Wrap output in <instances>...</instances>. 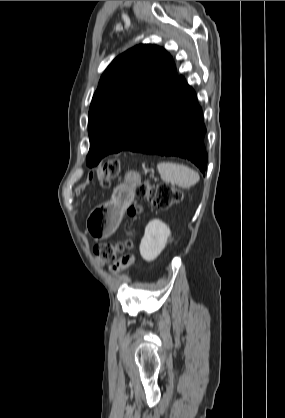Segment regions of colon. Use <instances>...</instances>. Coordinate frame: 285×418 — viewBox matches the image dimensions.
I'll return each mask as SVG.
<instances>
[{
    "instance_id": "colon-1",
    "label": "colon",
    "mask_w": 285,
    "mask_h": 418,
    "mask_svg": "<svg viewBox=\"0 0 285 418\" xmlns=\"http://www.w3.org/2000/svg\"><path fill=\"white\" fill-rule=\"evenodd\" d=\"M90 178H98L103 186H108L111 179L119 178V162L117 160L108 161L103 167L90 173ZM137 195L139 198L146 200L153 207L160 209H169L177 205L181 198L182 192L178 189L172 188L165 183L158 184H142L137 188ZM142 211L140 204L131 205L127 214L129 217H137ZM133 247L132 239L128 233L127 237L117 243L104 242L97 245L94 249V258L99 263L113 262L117 258V254L124 250H131ZM134 258V253L131 252L123 257L115 270H124L128 268Z\"/></svg>"
}]
</instances>
